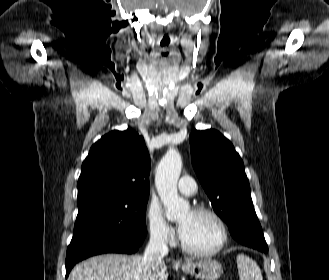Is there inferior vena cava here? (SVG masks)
<instances>
[{"label":"inferior vena cava","instance_id":"602c4592","mask_svg":"<svg viewBox=\"0 0 329 280\" xmlns=\"http://www.w3.org/2000/svg\"><path fill=\"white\" fill-rule=\"evenodd\" d=\"M167 254L168 246L164 234L162 232L152 233L144 252L143 263L148 266L159 265Z\"/></svg>","mask_w":329,"mask_h":280}]
</instances>
